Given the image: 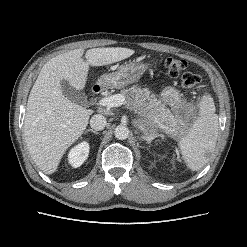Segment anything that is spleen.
Listing matches in <instances>:
<instances>
[{"instance_id":"1","label":"spleen","mask_w":247,"mask_h":247,"mask_svg":"<svg viewBox=\"0 0 247 247\" xmlns=\"http://www.w3.org/2000/svg\"><path fill=\"white\" fill-rule=\"evenodd\" d=\"M199 116L180 140V150L188 168L196 171L205 166L213 153L218 138V116L210 95L199 104Z\"/></svg>"}]
</instances>
